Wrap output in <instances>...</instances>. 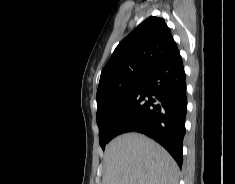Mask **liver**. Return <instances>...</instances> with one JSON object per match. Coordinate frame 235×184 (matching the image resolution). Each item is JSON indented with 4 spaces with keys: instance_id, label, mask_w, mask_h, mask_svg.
I'll return each instance as SVG.
<instances>
[{
    "instance_id": "obj_1",
    "label": "liver",
    "mask_w": 235,
    "mask_h": 184,
    "mask_svg": "<svg viewBox=\"0 0 235 184\" xmlns=\"http://www.w3.org/2000/svg\"><path fill=\"white\" fill-rule=\"evenodd\" d=\"M102 184H178L170 154L143 134H122L106 146Z\"/></svg>"
}]
</instances>
